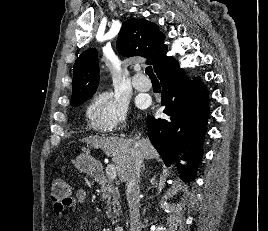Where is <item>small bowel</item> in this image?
Listing matches in <instances>:
<instances>
[{
	"label": "small bowel",
	"mask_w": 268,
	"mask_h": 231,
	"mask_svg": "<svg viewBox=\"0 0 268 231\" xmlns=\"http://www.w3.org/2000/svg\"><path fill=\"white\" fill-rule=\"evenodd\" d=\"M87 193L84 189H77L74 193V196L71 198V201L64 208L63 206L55 205L54 211L57 215H61L65 209L73 208L76 205L83 204L86 201Z\"/></svg>",
	"instance_id": "obj_1"
}]
</instances>
